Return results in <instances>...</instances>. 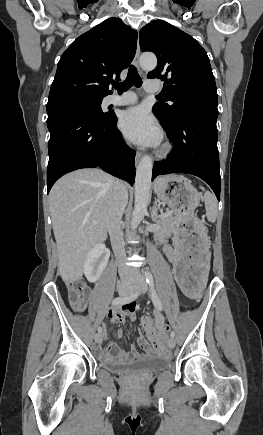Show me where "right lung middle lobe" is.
<instances>
[{
    "mask_svg": "<svg viewBox=\"0 0 263 435\" xmlns=\"http://www.w3.org/2000/svg\"><path fill=\"white\" fill-rule=\"evenodd\" d=\"M102 99L71 101L55 105L47 106L48 119L65 113L82 112L89 113L99 117H105L108 113H104L101 109Z\"/></svg>",
    "mask_w": 263,
    "mask_h": 435,
    "instance_id": "obj_1",
    "label": "right lung middle lobe"
}]
</instances>
